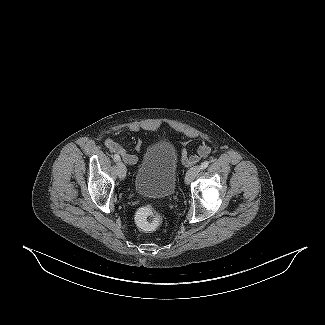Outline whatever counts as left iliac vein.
I'll return each mask as SVG.
<instances>
[{"instance_id":"1","label":"left iliac vein","mask_w":325,"mask_h":325,"mask_svg":"<svg viewBox=\"0 0 325 325\" xmlns=\"http://www.w3.org/2000/svg\"><path fill=\"white\" fill-rule=\"evenodd\" d=\"M201 171V167L200 166H194L192 168H190L185 176V183L189 184Z\"/></svg>"}]
</instances>
